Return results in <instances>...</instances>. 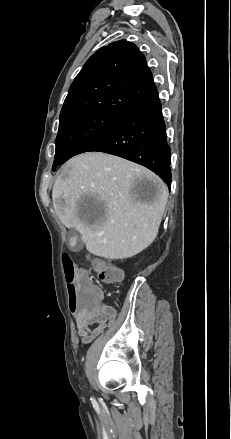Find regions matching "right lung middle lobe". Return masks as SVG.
<instances>
[{
	"label": "right lung middle lobe",
	"instance_id": "dd1d6c3e",
	"mask_svg": "<svg viewBox=\"0 0 231 439\" xmlns=\"http://www.w3.org/2000/svg\"><path fill=\"white\" fill-rule=\"evenodd\" d=\"M123 117L103 111H87L60 118L53 170L84 152Z\"/></svg>",
	"mask_w": 231,
	"mask_h": 439
}]
</instances>
